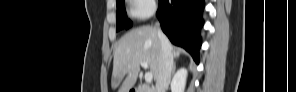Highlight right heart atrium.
<instances>
[{
  "label": "right heart atrium",
  "mask_w": 296,
  "mask_h": 92,
  "mask_svg": "<svg viewBox=\"0 0 296 92\" xmlns=\"http://www.w3.org/2000/svg\"><path fill=\"white\" fill-rule=\"evenodd\" d=\"M156 9V2L153 0H132L129 3L128 14L139 21L148 19Z\"/></svg>",
  "instance_id": "d8ad5b80"
}]
</instances>
